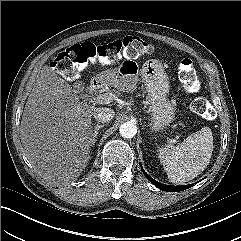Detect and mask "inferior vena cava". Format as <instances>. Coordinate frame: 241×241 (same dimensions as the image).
I'll use <instances>...</instances> for the list:
<instances>
[{
	"instance_id": "1",
	"label": "inferior vena cava",
	"mask_w": 241,
	"mask_h": 241,
	"mask_svg": "<svg viewBox=\"0 0 241 241\" xmlns=\"http://www.w3.org/2000/svg\"><path fill=\"white\" fill-rule=\"evenodd\" d=\"M94 118L101 123H107L110 122L113 117L115 116V112L111 108H96L93 112Z\"/></svg>"
}]
</instances>
